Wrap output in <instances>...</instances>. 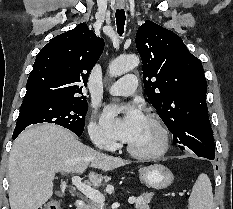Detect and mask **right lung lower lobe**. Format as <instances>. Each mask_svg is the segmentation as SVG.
Masks as SVG:
<instances>
[{"label": "right lung lower lobe", "instance_id": "98d812e1", "mask_svg": "<svg viewBox=\"0 0 233 209\" xmlns=\"http://www.w3.org/2000/svg\"><path fill=\"white\" fill-rule=\"evenodd\" d=\"M22 131H14L13 133V139H15ZM78 136H81V134H76Z\"/></svg>", "mask_w": 233, "mask_h": 209}]
</instances>
